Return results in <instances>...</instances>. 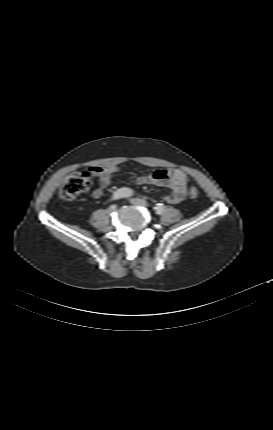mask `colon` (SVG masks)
<instances>
[{
  "label": "colon",
  "instance_id": "colon-1",
  "mask_svg": "<svg viewBox=\"0 0 273 430\" xmlns=\"http://www.w3.org/2000/svg\"><path fill=\"white\" fill-rule=\"evenodd\" d=\"M91 174L87 171H80L68 176L63 183L59 198L64 201H69L76 198L80 193L87 190L91 184ZM188 195L190 198H197L199 190L195 187L189 189Z\"/></svg>",
  "mask_w": 273,
  "mask_h": 430
}]
</instances>
